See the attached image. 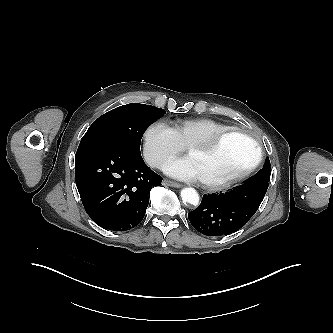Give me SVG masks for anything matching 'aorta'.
<instances>
[{"label": "aorta", "instance_id": "aorta-1", "mask_svg": "<svg viewBox=\"0 0 333 333\" xmlns=\"http://www.w3.org/2000/svg\"><path fill=\"white\" fill-rule=\"evenodd\" d=\"M181 198L183 201L191 204V205H198L199 203V194L198 192L192 188V187H187L181 190Z\"/></svg>", "mask_w": 333, "mask_h": 333}]
</instances>
